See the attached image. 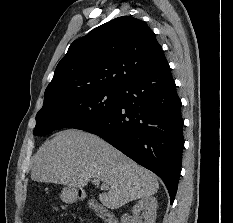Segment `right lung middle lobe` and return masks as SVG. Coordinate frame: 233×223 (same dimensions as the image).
<instances>
[{"instance_id":"obj_1","label":"right lung middle lobe","mask_w":233,"mask_h":223,"mask_svg":"<svg viewBox=\"0 0 233 223\" xmlns=\"http://www.w3.org/2000/svg\"><path fill=\"white\" fill-rule=\"evenodd\" d=\"M119 88L98 87L60 97L43 104L36 115L33 134L44 136L56 129H78L117 107Z\"/></svg>"}]
</instances>
